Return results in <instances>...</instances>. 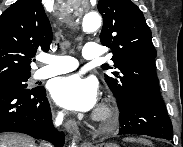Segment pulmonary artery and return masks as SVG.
Segmentation results:
<instances>
[{"label":"pulmonary artery","instance_id":"obj_1","mask_svg":"<svg viewBox=\"0 0 183 147\" xmlns=\"http://www.w3.org/2000/svg\"><path fill=\"white\" fill-rule=\"evenodd\" d=\"M99 55V45L96 43L89 42L82 48V56L85 59H95L98 58ZM40 61L44 63L45 66L35 72L34 77L36 79H46L73 71L78 67L77 60L70 56L45 55Z\"/></svg>","mask_w":183,"mask_h":147}]
</instances>
